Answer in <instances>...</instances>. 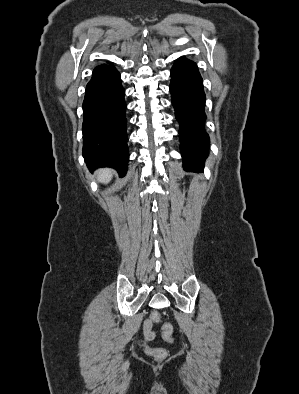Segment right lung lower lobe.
<instances>
[{
  "mask_svg": "<svg viewBox=\"0 0 299 394\" xmlns=\"http://www.w3.org/2000/svg\"><path fill=\"white\" fill-rule=\"evenodd\" d=\"M125 90L119 72L102 64L93 70L83 102V157L93 170L115 168L125 175L129 160Z\"/></svg>",
  "mask_w": 299,
  "mask_h": 394,
  "instance_id": "right-lung-lower-lobe-1",
  "label": "right lung lower lobe"
}]
</instances>
